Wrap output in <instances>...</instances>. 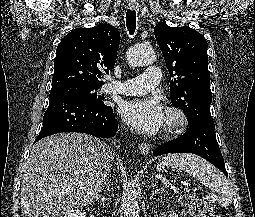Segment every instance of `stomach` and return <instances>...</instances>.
Instances as JSON below:
<instances>
[{
  "label": "stomach",
  "mask_w": 255,
  "mask_h": 217,
  "mask_svg": "<svg viewBox=\"0 0 255 217\" xmlns=\"http://www.w3.org/2000/svg\"><path fill=\"white\" fill-rule=\"evenodd\" d=\"M174 170L175 169H178V170H183V168H181V167H172Z\"/></svg>",
  "instance_id": "1"
}]
</instances>
